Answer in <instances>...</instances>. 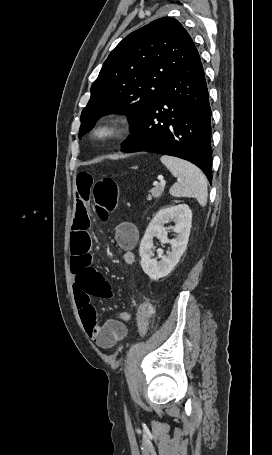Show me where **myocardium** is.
Segmentation results:
<instances>
[{
  "instance_id": "myocardium-1",
  "label": "myocardium",
  "mask_w": 272,
  "mask_h": 455,
  "mask_svg": "<svg viewBox=\"0 0 272 455\" xmlns=\"http://www.w3.org/2000/svg\"><path fill=\"white\" fill-rule=\"evenodd\" d=\"M131 129V120L126 114H110L97 121L90 136L98 145L107 146L125 136Z\"/></svg>"
}]
</instances>
